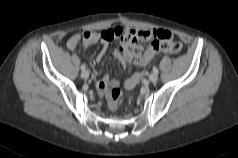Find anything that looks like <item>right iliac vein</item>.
Here are the masks:
<instances>
[{"instance_id": "1", "label": "right iliac vein", "mask_w": 238, "mask_h": 158, "mask_svg": "<svg viewBox=\"0 0 238 158\" xmlns=\"http://www.w3.org/2000/svg\"><path fill=\"white\" fill-rule=\"evenodd\" d=\"M81 77L84 79H87L89 77V71L88 70H83L81 72Z\"/></svg>"}]
</instances>
